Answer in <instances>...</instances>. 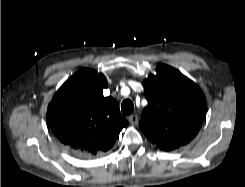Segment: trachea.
<instances>
[{
  "instance_id": "obj_1",
  "label": "trachea",
  "mask_w": 245,
  "mask_h": 187,
  "mask_svg": "<svg viewBox=\"0 0 245 187\" xmlns=\"http://www.w3.org/2000/svg\"><path fill=\"white\" fill-rule=\"evenodd\" d=\"M134 104L130 99L123 100L121 110L123 115H130L133 112Z\"/></svg>"
}]
</instances>
